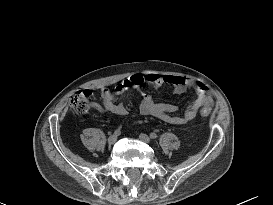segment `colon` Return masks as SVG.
Here are the masks:
<instances>
[{
    "mask_svg": "<svg viewBox=\"0 0 273 205\" xmlns=\"http://www.w3.org/2000/svg\"><path fill=\"white\" fill-rule=\"evenodd\" d=\"M94 93L91 90H79L69 96V105L77 114H85L93 106ZM202 116H209L210 109L203 107L200 110Z\"/></svg>",
    "mask_w": 273,
    "mask_h": 205,
    "instance_id": "1",
    "label": "colon"
}]
</instances>
